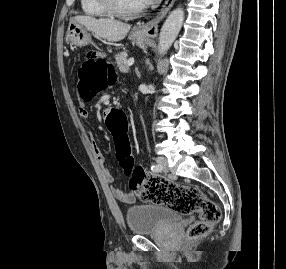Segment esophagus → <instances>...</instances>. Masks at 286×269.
I'll return each mask as SVG.
<instances>
[{"instance_id": "1", "label": "esophagus", "mask_w": 286, "mask_h": 269, "mask_svg": "<svg viewBox=\"0 0 286 269\" xmlns=\"http://www.w3.org/2000/svg\"><path fill=\"white\" fill-rule=\"evenodd\" d=\"M176 0H165L158 13L150 21L140 23L136 30L147 38H155L158 33V25L165 18Z\"/></svg>"}]
</instances>
